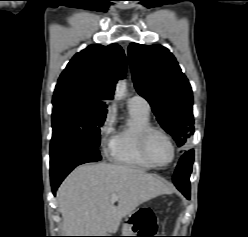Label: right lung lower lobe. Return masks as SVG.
I'll list each match as a JSON object with an SVG mask.
<instances>
[{
    "label": "right lung lower lobe",
    "mask_w": 248,
    "mask_h": 237,
    "mask_svg": "<svg viewBox=\"0 0 248 237\" xmlns=\"http://www.w3.org/2000/svg\"><path fill=\"white\" fill-rule=\"evenodd\" d=\"M100 159L99 150L89 144H70L61 141L51 143L50 172L53 194L56 195L60 183L76 166Z\"/></svg>",
    "instance_id": "obj_1"
}]
</instances>
